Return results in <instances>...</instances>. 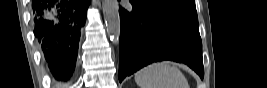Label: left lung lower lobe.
<instances>
[{"instance_id":"obj_1","label":"left lung lower lobe","mask_w":267,"mask_h":88,"mask_svg":"<svg viewBox=\"0 0 267 88\" xmlns=\"http://www.w3.org/2000/svg\"><path fill=\"white\" fill-rule=\"evenodd\" d=\"M132 3V2H131ZM119 8V81L157 61L183 62L204 77L198 21L190 18Z\"/></svg>"}]
</instances>
